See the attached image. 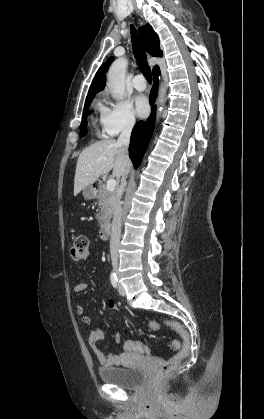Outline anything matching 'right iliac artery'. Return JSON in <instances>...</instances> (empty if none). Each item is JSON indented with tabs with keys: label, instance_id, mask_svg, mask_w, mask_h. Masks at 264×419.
Returning <instances> with one entry per match:
<instances>
[{
	"label": "right iliac artery",
	"instance_id": "right-iliac-artery-1",
	"mask_svg": "<svg viewBox=\"0 0 264 419\" xmlns=\"http://www.w3.org/2000/svg\"><path fill=\"white\" fill-rule=\"evenodd\" d=\"M110 281H111L112 286L114 288H117V286H118V279H117V276H116V273L115 272H112L111 273Z\"/></svg>",
	"mask_w": 264,
	"mask_h": 419
}]
</instances>
